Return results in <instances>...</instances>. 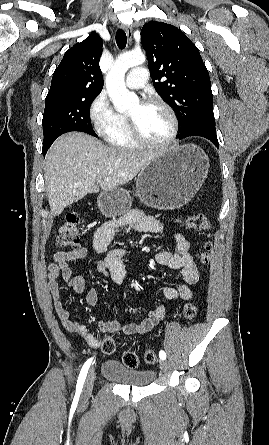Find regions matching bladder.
<instances>
[{
    "label": "bladder",
    "instance_id": "31cf9c89",
    "mask_svg": "<svg viewBox=\"0 0 269 445\" xmlns=\"http://www.w3.org/2000/svg\"><path fill=\"white\" fill-rule=\"evenodd\" d=\"M101 374L105 379L129 387L143 388L155 379V372L151 369H133L121 364L117 360H107L101 366Z\"/></svg>",
    "mask_w": 269,
    "mask_h": 445
}]
</instances>
